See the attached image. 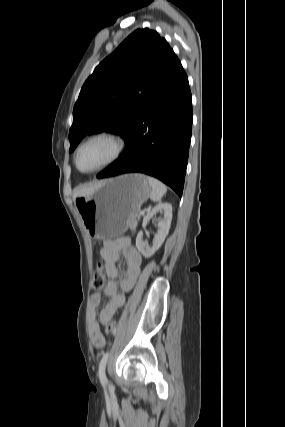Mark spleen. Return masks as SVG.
Masks as SVG:
<instances>
[{"instance_id": "spleen-1", "label": "spleen", "mask_w": 285, "mask_h": 427, "mask_svg": "<svg viewBox=\"0 0 285 427\" xmlns=\"http://www.w3.org/2000/svg\"><path fill=\"white\" fill-rule=\"evenodd\" d=\"M149 185L151 187V194H150V198L152 201L154 202H159L161 201L162 197L166 194L167 192V188L166 186L160 182L159 180L148 176L147 177Z\"/></svg>"}]
</instances>
